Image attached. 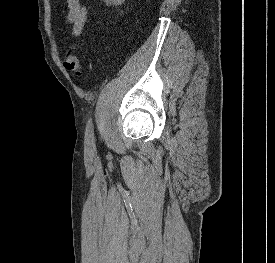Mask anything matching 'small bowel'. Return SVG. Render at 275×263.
<instances>
[{
  "instance_id": "small-bowel-1",
  "label": "small bowel",
  "mask_w": 275,
  "mask_h": 263,
  "mask_svg": "<svg viewBox=\"0 0 275 263\" xmlns=\"http://www.w3.org/2000/svg\"><path fill=\"white\" fill-rule=\"evenodd\" d=\"M67 4V21L72 25L73 34L75 36H80L87 20L86 7L80 0H67Z\"/></svg>"
}]
</instances>
